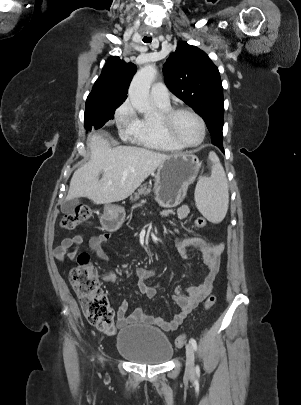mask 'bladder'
<instances>
[{"label": "bladder", "mask_w": 301, "mask_h": 405, "mask_svg": "<svg viewBox=\"0 0 301 405\" xmlns=\"http://www.w3.org/2000/svg\"><path fill=\"white\" fill-rule=\"evenodd\" d=\"M116 349L126 359L147 365L166 363L173 355L169 338L159 329L144 325L121 329L117 335Z\"/></svg>", "instance_id": "31cf9c89"}]
</instances>
